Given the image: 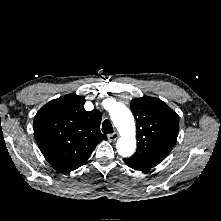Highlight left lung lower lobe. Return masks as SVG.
<instances>
[{"mask_svg": "<svg viewBox=\"0 0 221 221\" xmlns=\"http://www.w3.org/2000/svg\"><path fill=\"white\" fill-rule=\"evenodd\" d=\"M124 161H125V163H126L129 167H131V168H133V169H135V170H138V171H143V172H144V171H147V170L150 169L149 167H144V166L138 165V164H136V163L129 162V161L125 160V159H124Z\"/></svg>", "mask_w": 221, "mask_h": 221, "instance_id": "left-lung-lower-lobe-1", "label": "left lung lower lobe"}]
</instances>
